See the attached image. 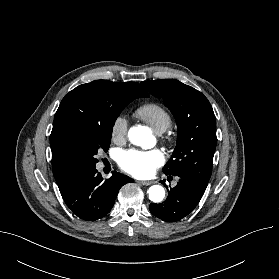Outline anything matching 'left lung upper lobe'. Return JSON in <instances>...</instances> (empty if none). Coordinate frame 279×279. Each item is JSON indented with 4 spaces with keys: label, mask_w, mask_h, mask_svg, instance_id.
<instances>
[{
    "label": "left lung upper lobe",
    "mask_w": 279,
    "mask_h": 279,
    "mask_svg": "<svg viewBox=\"0 0 279 279\" xmlns=\"http://www.w3.org/2000/svg\"><path fill=\"white\" fill-rule=\"evenodd\" d=\"M141 84L149 93L164 100L177 123V145L163 172L191 176L208 184L217 144L215 115L208 99L175 79Z\"/></svg>",
    "instance_id": "obj_1"
}]
</instances>
